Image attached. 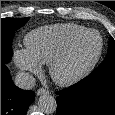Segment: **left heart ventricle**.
<instances>
[{
  "instance_id": "b2bd125f",
  "label": "left heart ventricle",
  "mask_w": 115,
  "mask_h": 115,
  "mask_svg": "<svg viewBox=\"0 0 115 115\" xmlns=\"http://www.w3.org/2000/svg\"><path fill=\"white\" fill-rule=\"evenodd\" d=\"M98 47L99 38L96 34L86 36L79 42L74 51L71 67H76L91 59L96 54Z\"/></svg>"
}]
</instances>
